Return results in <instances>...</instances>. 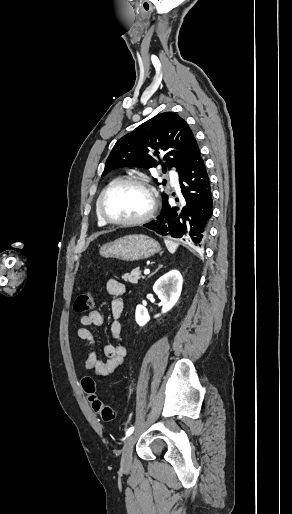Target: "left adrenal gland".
Here are the masks:
<instances>
[{
	"mask_svg": "<svg viewBox=\"0 0 292 514\" xmlns=\"http://www.w3.org/2000/svg\"><path fill=\"white\" fill-rule=\"evenodd\" d=\"M161 268H163V266H159V268H157V270H155V272H153V274H156V272H158V270H161ZM153 274H150V276H153ZM149 276V278H150Z\"/></svg>",
	"mask_w": 292,
	"mask_h": 514,
	"instance_id": "1",
	"label": "left adrenal gland"
}]
</instances>
